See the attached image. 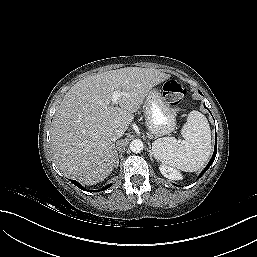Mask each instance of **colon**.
I'll return each mask as SVG.
<instances>
[{
	"label": "colon",
	"mask_w": 257,
	"mask_h": 257,
	"mask_svg": "<svg viewBox=\"0 0 257 257\" xmlns=\"http://www.w3.org/2000/svg\"><path fill=\"white\" fill-rule=\"evenodd\" d=\"M163 91L167 100L173 105L179 104L187 94L186 90L175 81L166 82Z\"/></svg>",
	"instance_id": "5ec220e1"
}]
</instances>
